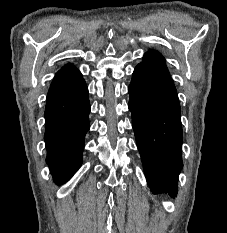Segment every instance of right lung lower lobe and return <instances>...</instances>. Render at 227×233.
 Returning a JSON list of instances; mask_svg holds the SVG:
<instances>
[{
    "instance_id": "1",
    "label": "right lung lower lobe",
    "mask_w": 227,
    "mask_h": 233,
    "mask_svg": "<svg viewBox=\"0 0 227 233\" xmlns=\"http://www.w3.org/2000/svg\"><path fill=\"white\" fill-rule=\"evenodd\" d=\"M89 113L84 79L46 102V161L58 185L68 181L82 163L84 138L90 128Z\"/></svg>"
}]
</instances>
